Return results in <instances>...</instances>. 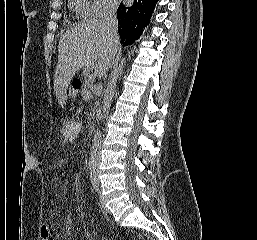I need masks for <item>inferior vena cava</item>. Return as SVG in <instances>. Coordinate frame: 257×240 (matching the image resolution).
Returning <instances> with one entry per match:
<instances>
[{
    "mask_svg": "<svg viewBox=\"0 0 257 240\" xmlns=\"http://www.w3.org/2000/svg\"><path fill=\"white\" fill-rule=\"evenodd\" d=\"M117 4H111L103 20V29L114 43H119L118 21L116 17Z\"/></svg>",
    "mask_w": 257,
    "mask_h": 240,
    "instance_id": "602c4592",
    "label": "inferior vena cava"
}]
</instances>
